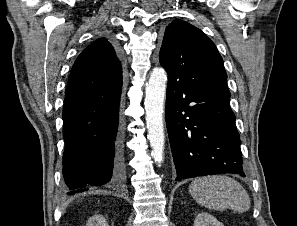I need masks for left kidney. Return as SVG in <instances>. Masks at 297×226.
<instances>
[{"mask_svg": "<svg viewBox=\"0 0 297 226\" xmlns=\"http://www.w3.org/2000/svg\"><path fill=\"white\" fill-rule=\"evenodd\" d=\"M194 226H224L209 213H199L194 221Z\"/></svg>", "mask_w": 297, "mask_h": 226, "instance_id": "5707ae66", "label": "left kidney"}]
</instances>
